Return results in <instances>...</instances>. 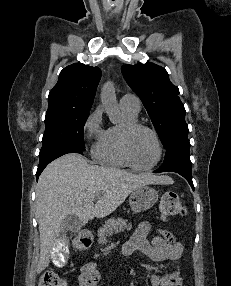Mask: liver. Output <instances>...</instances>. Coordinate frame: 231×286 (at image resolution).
<instances>
[{
    "label": "liver",
    "mask_w": 231,
    "mask_h": 286,
    "mask_svg": "<svg viewBox=\"0 0 231 286\" xmlns=\"http://www.w3.org/2000/svg\"><path fill=\"white\" fill-rule=\"evenodd\" d=\"M168 176L135 175L117 168L91 165L80 154L51 162L39 177L36 215L40 232L37 273L50 263L53 247L63 232V220L76 215L81 224L115 211L128 195L147 184H172ZM98 201L94 205V199Z\"/></svg>",
    "instance_id": "6515ba94"
}]
</instances>
